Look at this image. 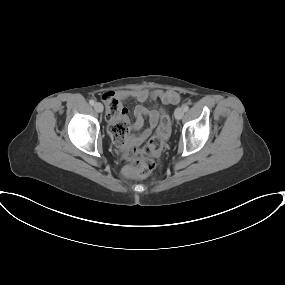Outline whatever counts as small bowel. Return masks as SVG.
Returning a JSON list of instances; mask_svg holds the SVG:
<instances>
[{
    "label": "small bowel",
    "instance_id": "obj_1",
    "mask_svg": "<svg viewBox=\"0 0 285 285\" xmlns=\"http://www.w3.org/2000/svg\"><path fill=\"white\" fill-rule=\"evenodd\" d=\"M111 96L117 100L134 99L138 102L144 103L147 101H159L163 105L176 104L179 102V94L176 91H163L155 90L148 91L146 89L133 90V91H119L116 93L110 92L104 95ZM127 109L123 106L120 107V112L117 115L110 114L106 111L107 119L110 124H114L120 120L128 122ZM161 113L160 107L146 108L142 105H137L133 110L134 122L132 130L135 132L127 137V140L123 144L125 147H133L144 141H146L152 134L154 128L157 125L159 116ZM148 119V127L141 130L145 119Z\"/></svg>",
    "mask_w": 285,
    "mask_h": 285
}]
</instances>
